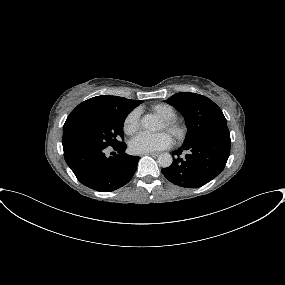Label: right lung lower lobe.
Masks as SVG:
<instances>
[{"label": "right lung lower lobe", "instance_id": "1", "mask_svg": "<svg viewBox=\"0 0 285 285\" xmlns=\"http://www.w3.org/2000/svg\"><path fill=\"white\" fill-rule=\"evenodd\" d=\"M126 148L124 143L113 147L117 154L109 157L107 147L72 145L63 150L66 163L83 185L111 192L128 183L136 172L139 157L124 153Z\"/></svg>", "mask_w": 285, "mask_h": 285}]
</instances>
